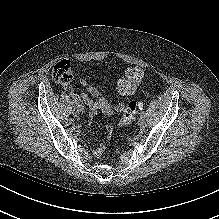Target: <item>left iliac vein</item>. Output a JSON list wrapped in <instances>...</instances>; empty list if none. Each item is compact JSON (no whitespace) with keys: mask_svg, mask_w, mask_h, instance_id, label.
I'll return each instance as SVG.
<instances>
[{"mask_svg":"<svg viewBox=\"0 0 219 219\" xmlns=\"http://www.w3.org/2000/svg\"><path fill=\"white\" fill-rule=\"evenodd\" d=\"M146 122V117L145 114H140L139 118H138V125L139 126H143Z\"/></svg>","mask_w":219,"mask_h":219,"instance_id":"left-iliac-vein-1","label":"left iliac vein"}]
</instances>
